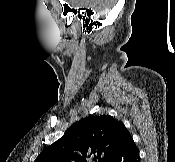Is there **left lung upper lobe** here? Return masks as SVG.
I'll return each mask as SVG.
<instances>
[{
	"label": "left lung upper lobe",
	"instance_id": "5c2ea615",
	"mask_svg": "<svg viewBox=\"0 0 175 162\" xmlns=\"http://www.w3.org/2000/svg\"><path fill=\"white\" fill-rule=\"evenodd\" d=\"M126 132L124 124L109 115L89 116L74 123L34 162H109Z\"/></svg>",
	"mask_w": 175,
	"mask_h": 162
}]
</instances>
